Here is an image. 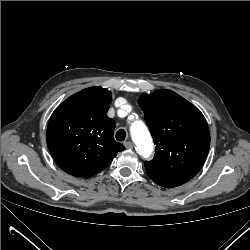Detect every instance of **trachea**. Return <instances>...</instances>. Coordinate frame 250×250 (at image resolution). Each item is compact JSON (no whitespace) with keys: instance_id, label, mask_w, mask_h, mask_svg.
<instances>
[{"instance_id":"obj_1","label":"trachea","mask_w":250,"mask_h":250,"mask_svg":"<svg viewBox=\"0 0 250 250\" xmlns=\"http://www.w3.org/2000/svg\"><path fill=\"white\" fill-rule=\"evenodd\" d=\"M126 138V132L124 129H119L116 133V140L117 141H124Z\"/></svg>"}]
</instances>
